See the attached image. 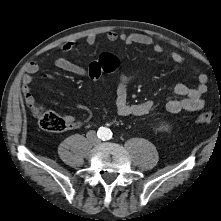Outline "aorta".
I'll return each instance as SVG.
<instances>
[{
	"label": "aorta",
	"mask_w": 221,
	"mask_h": 221,
	"mask_svg": "<svg viewBox=\"0 0 221 221\" xmlns=\"http://www.w3.org/2000/svg\"><path fill=\"white\" fill-rule=\"evenodd\" d=\"M99 136L103 140H108L112 136V132L109 128L101 127L99 130Z\"/></svg>",
	"instance_id": "762f6f07"
}]
</instances>
